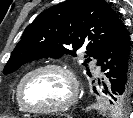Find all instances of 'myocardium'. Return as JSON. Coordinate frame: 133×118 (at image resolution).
<instances>
[{
    "label": "myocardium",
    "instance_id": "f54148a6",
    "mask_svg": "<svg viewBox=\"0 0 133 118\" xmlns=\"http://www.w3.org/2000/svg\"><path fill=\"white\" fill-rule=\"evenodd\" d=\"M44 70H57L64 73L70 82L71 93L68 99L59 105L43 107V108H34L29 106L25 102L24 86L30 76ZM79 92H80L79 81L73 69L64 64L52 62V63H45L39 66H36L24 74V76L21 78L17 87V99L21 107L26 112L33 113V114H52V113L62 112L71 108L77 102Z\"/></svg>",
    "mask_w": 133,
    "mask_h": 118
}]
</instances>
